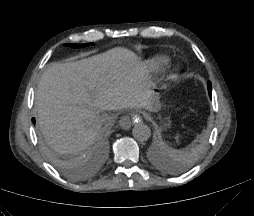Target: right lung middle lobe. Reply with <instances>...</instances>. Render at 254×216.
I'll return each instance as SVG.
<instances>
[{
	"instance_id": "right-lung-middle-lobe-1",
	"label": "right lung middle lobe",
	"mask_w": 254,
	"mask_h": 216,
	"mask_svg": "<svg viewBox=\"0 0 254 216\" xmlns=\"http://www.w3.org/2000/svg\"><path fill=\"white\" fill-rule=\"evenodd\" d=\"M66 46H69V47H73V48H81V47H85V46H89L91 44H65Z\"/></svg>"
}]
</instances>
